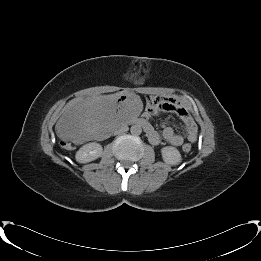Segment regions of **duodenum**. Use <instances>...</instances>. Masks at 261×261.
Segmentation results:
<instances>
[{
  "instance_id": "obj_1",
  "label": "duodenum",
  "mask_w": 261,
  "mask_h": 261,
  "mask_svg": "<svg viewBox=\"0 0 261 261\" xmlns=\"http://www.w3.org/2000/svg\"><path fill=\"white\" fill-rule=\"evenodd\" d=\"M135 122L141 127H143L147 134H150L153 131V127L145 118H138L135 120Z\"/></svg>"
}]
</instances>
